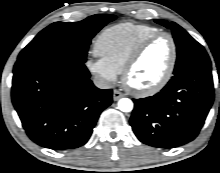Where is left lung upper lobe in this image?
<instances>
[{
  "label": "left lung upper lobe",
  "instance_id": "left-lung-upper-lobe-1",
  "mask_svg": "<svg viewBox=\"0 0 220 173\" xmlns=\"http://www.w3.org/2000/svg\"><path fill=\"white\" fill-rule=\"evenodd\" d=\"M157 23L171 28L177 46V60L174 75L200 66H211L210 59L204 49L182 27L176 23L171 25L164 20H155Z\"/></svg>",
  "mask_w": 220,
  "mask_h": 173
}]
</instances>
